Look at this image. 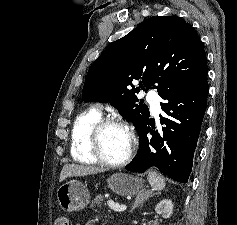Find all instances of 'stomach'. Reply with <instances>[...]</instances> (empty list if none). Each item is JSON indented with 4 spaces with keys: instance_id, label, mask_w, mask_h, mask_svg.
Masks as SVG:
<instances>
[{
    "instance_id": "1",
    "label": "stomach",
    "mask_w": 237,
    "mask_h": 225,
    "mask_svg": "<svg viewBox=\"0 0 237 225\" xmlns=\"http://www.w3.org/2000/svg\"><path fill=\"white\" fill-rule=\"evenodd\" d=\"M109 188L120 196H132L143 188L141 178L125 173H115L107 180ZM60 207L67 212L82 210L90 200L86 186L78 180H70L57 189Z\"/></svg>"
}]
</instances>
